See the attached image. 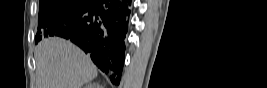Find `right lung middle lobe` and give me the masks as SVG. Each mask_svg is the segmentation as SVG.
<instances>
[{
  "instance_id": "right-lung-middle-lobe-1",
  "label": "right lung middle lobe",
  "mask_w": 267,
  "mask_h": 88,
  "mask_svg": "<svg viewBox=\"0 0 267 88\" xmlns=\"http://www.w3.org/2000/svg\"><path fill=\"white\" fill-rule=\"evenodd\" d=\"M85 0H40L38 33L35 37L36 43L45 36L46 28L53 21L66 17Z\"/></svg>"
}]
</instances>
